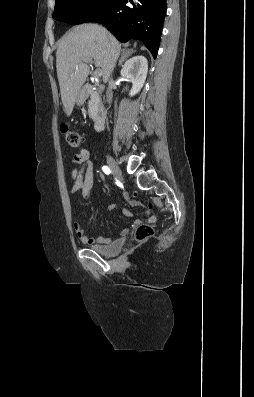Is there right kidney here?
I'll return each mask as SVG.
<instances>
[{"label":"right kidney","mask_w":254,"mask_h":397,"mask_svg":"<svg viewBox=\"0 0 254 397\" xmlns=\"http://www.w3.org/2000/svg\"><path fill=\"white\" fill-rule=\"evenodd\" d=\"M148 72L147 59L142 56H134L124 64L121 70V76L132 83V89L129 95L132 97L142 89Z\"/></svg>","instance_id":"obj_1"}]
</instances>
